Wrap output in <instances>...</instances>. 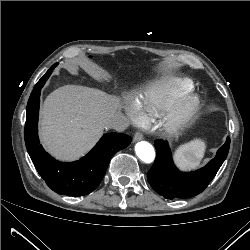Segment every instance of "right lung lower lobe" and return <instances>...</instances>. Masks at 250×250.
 <instances>
[{
	"mask_svg": "<svg viewBox=\"0 0 250 250\" xmlns=\"http://www.w3.org/2000/svg\"><path fill=\"white\" fill-rule=\"evenodd\" d=\"M54 64L35 85L26 110L25 144L31 160L46 184L56 193L83 196L99 185L113 155L131 143V137L120 133L105 134L96 146L79 161L63 163L55 160L39 144L38 113L40 91Z\"/></svg>",
	"mask_w": 250,
	"mask_h": 250,
	"instance_id": "right-lung-lower-lobe-1",
	"label": "right lung lower lobe"
}]
</instances>
